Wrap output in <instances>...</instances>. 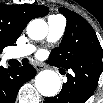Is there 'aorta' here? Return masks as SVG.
Returning a JSON list of instances; mask_svg holds the SVG:
<instances>
[{
  "label": "aorta",
  "instance_id": "1",
  "mask_svg": "<svg viewBox=\"0 0 103 103\" xmlns=\"http://www.w3.org/2000/svg\"><path fill=\"white\" fill-rule=\"evenodd\" d=\"M48 33V25L42 19H34L27 26V34L33 40H42ZM35 86L44 97H53L59 92L61 81L55 71L44 70L37 74Z\"/></svg>",
  "mask_w": 103,
  "mask_h": 103
}]
</instances>
